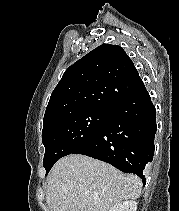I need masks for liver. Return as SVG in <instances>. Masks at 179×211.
Wrapping results in <instances>:
<instances>
[{
  "mask_svg": "<svg viewBox=\"0 0 179 211\" xmlns=\"http://www.w3.org/2000/svg\"><path fill=\"white\" fill-rule=\"evenodd\" d=\"M141 191L138 176L85 155L71 154L52 167L46 203L51 211H109L124 200H136Z\"/></svg>",
  "mask_w": 179,
  "mask_h": 211,
  "instance_id": "6515ba94",
  "label": "liver"
}]
</instances>
